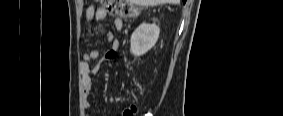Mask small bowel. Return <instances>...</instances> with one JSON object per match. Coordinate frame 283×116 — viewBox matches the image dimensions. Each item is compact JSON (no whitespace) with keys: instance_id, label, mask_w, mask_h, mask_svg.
I'll return each instance as SVG.
<instances>
[{"instance_id":"c3829d8e","label":"small bowel","mask_w":283,"mask_h":116,"mask_svg":"<svg viewBox=\"0 0 283 116\" xmlns=\"http://www.w3.org/2000/svg\"><path fill=\"white\" fill-rule=\"evenodd\" d=\"M108 17L109 14L104 7L90 5L85 11V19L89 23L93 20H106ZM114 28L116 31H121L123 28V21L118 17L114 18ZM107 46L108 50L104 58H99L98 50H91L83 54L82 59L79 62V70L83 77L82 87L86 98L84 102V107L86 109L90 108L88 98L96 92L91 75L98 72L102 62L113 60L115 58V53L119 48V41L111 31L107 32ZM95 60H97V63L91 67L90 62Z\"/></svg>"}]
</instances>
